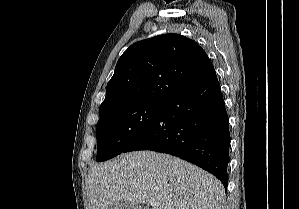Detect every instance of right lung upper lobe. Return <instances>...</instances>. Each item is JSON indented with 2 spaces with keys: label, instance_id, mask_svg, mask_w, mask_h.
Here are the masks:
<instances>
[{
  "label": "right lung upper lobe",
  "instance_id": "1",
  "mask_svg": "<svg viewBox=\"0 0 299 209\" xmlns=\"http://www.w3.org/2000/svg\"><path fill=\"white\" fill-rule=\"evenodd\" d=\"M214 70L205 51L179 34H165L131 45L118 60L100 113L136 102H165L191 77Z\"/></svg>",
  "mask_w": 299,
  "mask_h": 209
}]
</instances>
